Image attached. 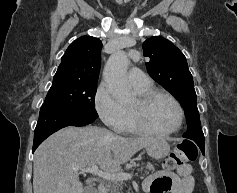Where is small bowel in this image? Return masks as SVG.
I'll return each mask as SVG.
<instances>
[{"label":"small bowel","mask_w":237,"mask_h":193,"mask_svg":"<svg viewBox=\"0 0 237 193\" xmlns=\"http://www.w3.org/2000/svg\"><path fill=\"white\" fill-rule=\"evenodd\" d=\"M143 188L146 193H194L193 166L185 164L176 172L157 171L144 180Z\"/></svg>","instance_id":"small-bowel-1"}]
</instances>
